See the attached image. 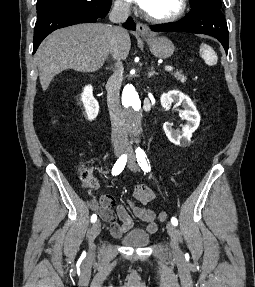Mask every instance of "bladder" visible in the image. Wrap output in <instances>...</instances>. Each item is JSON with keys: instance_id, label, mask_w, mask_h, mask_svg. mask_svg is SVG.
I'll use <instances>...</instances> for the list:
<instances>
[{"instance_id": "1", "label": "bladder", "mask_w": 255, "mask_h": 287, "mask_svg": "<svg viewBox=\"0 0 255 287\" xmlns=\"http://www.w3.org/2000/svg\"><path fill=\"white\" fill-rule=\"evenodd\" d=\"M150 234L141 228H135L120 238V242L128 247H143L150 243Z\"/></svg>"}]
</instances>
